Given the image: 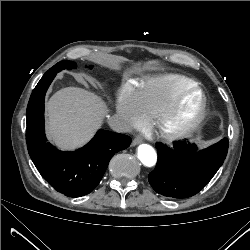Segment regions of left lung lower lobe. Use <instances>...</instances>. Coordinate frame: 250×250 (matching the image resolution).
<instances>
[{
  "instance_id": "left-lung-lower-lobe-1",
  "label": "left lung lower lobe",
  "mask_w": 250,
  "mask_h": 250,
  "mask_svg": "<svg viewBox=\"0 0 250 250\" xmlns=\"http://www.w3.org/2000/svg\"><path fill=\"white\" fill-rule=\"evenodd\" d=\"M158 161L148 180L166 197L186 198L198 193L212 179L228 152V140L196 152V147L177 141L173 148L156 145Z\"/></svg>"
}]
</instances>
